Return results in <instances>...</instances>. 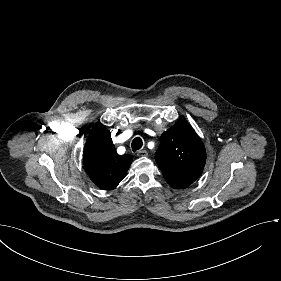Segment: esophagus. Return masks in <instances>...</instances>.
Returning <instances> with one entry per match:
<instances>
[{
  "label": "esophagus",
  "instance_id": "1",
  "mask_svg": "<svg viewBox=\"0 0 281 281\" xmlns=\"http://www.w3.org/2000/svg\"><path fill=\"white\" fill-rule=\"evenodd\" d=\"M137 156L138 157H147L148 156V152L146 150H141L137 152Z\"/></svg>",
  "mask_w": 281,
  "mask_h": 281
}]
</instances>
